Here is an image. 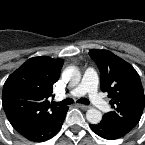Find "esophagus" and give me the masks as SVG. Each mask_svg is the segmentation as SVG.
I'll return each instance as SVG.
<instances>
[{
  "label": "esophagus",
  "mask_w": 145,
  "mask_h": 145,
  "mask_svg": "<svg viewBox=\"0 0 145 145\" xmlns=\"http://www.w3.org/2000/svg\"><path fill=\"white\" fill-rule=\"evenodd\" d=\"M74 107L81 108L82 110H87L90 106L75 103V104H74Z\"/></svg>",
  "instance_id": "1"
}]
</instances>
